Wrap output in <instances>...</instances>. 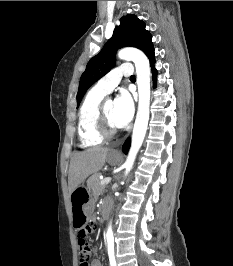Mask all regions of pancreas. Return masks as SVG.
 <instances>
[{"label": "pancreas", "instance_id": "pancreas-1", "mask_svg": "<svg viewBox=\"0 0 233 266\" xmlns=\"http://www.w3.org/2000/svg\"><path fill=\"white\" fill-rule=\"evenodd\" d=\"M101 179L99 178V175L96 174L92 176L88 182V188L92 191L93 195L98 196L100 195L104 188L105 185H101Z\"/></svg>", "mask_w": 233, "mask_h": 266}]
</instances>
